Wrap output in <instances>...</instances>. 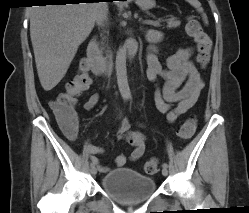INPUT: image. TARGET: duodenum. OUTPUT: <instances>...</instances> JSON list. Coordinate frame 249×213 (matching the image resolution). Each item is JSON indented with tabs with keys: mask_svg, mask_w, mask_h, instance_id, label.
<instances>
[{
	"mask_svg": "<svg viewBox=\"0 0 249 213\" xmlns=\"http://www.w3.org/2000/svg\"><path fill=\"white\" fill-rule=\"evenodd\" d=\"M126 49L128 55L132 57L137 49L136 42L134 40L129 41ZM85 63L95 74L99 76L106 75L110 72V64L100 54L98 40L96 37H93L89 42Z\"/></svg>",
	"mask_w": 249,
	"mask_h": 213,
	"instance_id": "obj_1",
	"label": "duodenum"
}]
</instances>
